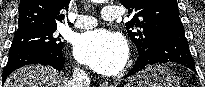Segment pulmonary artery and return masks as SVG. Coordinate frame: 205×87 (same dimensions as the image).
I'll list each match as a JSON object with an SVG mask.
<instances>
[{"instance_id": "e3ab8cb5", "label": "pulmonary artery", "mask_w": 205, "mask_h": 87, "mask_svg": "<svg viewBox=\"0 0 205 87\" xmlns=\"http://www.w3.org/2000/svg\"><path fill=\"white\" fill-rule=\"evenodd\" d=\"M102 18L106 21H114L120 15L118 9L114 6H106L101 12ZM97 25V19L90 15H79L76 17L74 26L80 29H88Z\"/></svg>"}]
</instances>
